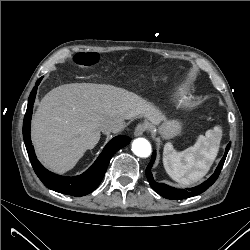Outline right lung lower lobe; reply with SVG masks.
<instances>
[{
    "label": "right lung lower lobe",
    "mask_w": 250,
    "mask_h": 250,
    "mask_svg": "<svg viewBox=\"0 0 250 250\" xmlns=\"http://www.w3.org/2000/svg\"><path fill=\"white\" fill-rule=\"evenodd\" d=\"M41 80L42 77L36 82L35 87L29 96L27 111L23 122V138L32 167L39 179L47 188L62 194H68L76 197L87 195L94 191L102 181L112 156L120 148L128 145L131 139L126 136H117L113 138L105 146L94 164L79 176H60L48 171L37 160L30 137L33 104L35 101L37 87Z\"/></svg>",
    "instance_id": "right-lung-lower-lobe-1"
}]
</instances>
